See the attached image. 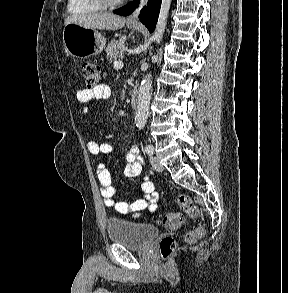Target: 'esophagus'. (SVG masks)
<instances>
[{
    "label": "esophagus",
    "instance_id": "34e87169",
    "mask_svg": "<svg viewBox=\"0 0 288 293\" xmlns=\"http://www.w3.org/2000/svg\"><path fill=\"white\" fill-rule=\"evenodd\" d=\"M147 0H142L139 7L128 17V22L134 25H139L140 21L138 18L139 12L142 7L146 4Z\"/></svg>",
    "mask_w": 288,
    "mask_h": 293
}]
</instances>
